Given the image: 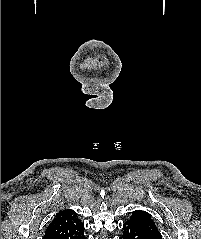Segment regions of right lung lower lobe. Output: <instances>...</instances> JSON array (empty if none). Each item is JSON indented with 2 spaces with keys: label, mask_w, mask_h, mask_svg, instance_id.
I'll list each match as a JSON object with an SVG mask.
<instances>
[{
  "label": "right lung lower lobe",
  "mask_w": 201,
  "mask_h": 239,
  "mask_svg": "<svg viewBox=\"0 0 201 239\" xmlns=\"http://www.w3.org/2000/svg\"><path fill=\"white\" fill-rule=\"evenodd\" d=\"M82 239H86L84 235L82 236Z\"/></svg>",
  "instance_id": "98d812e1"
}]
</instances>
